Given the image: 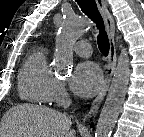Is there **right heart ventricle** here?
<instances>
[{
  "label": "right heart ventricle",
  "instance_id": "1",
  "mask_svg": "<svg viewBox=\"0 0 144 137\" xmlns=\"http://www.w3.org/2000/svg\"><path fill=\"white\" fill-rule=\"evenodd\" d=\"M57 78L48 65L47 49L33 48L27 55L19 76L18 92L22 100L35 104L53 101Z\"/></svg>",
  "mask_w": 144,
  "mask_h": 137
}]
</instances>
